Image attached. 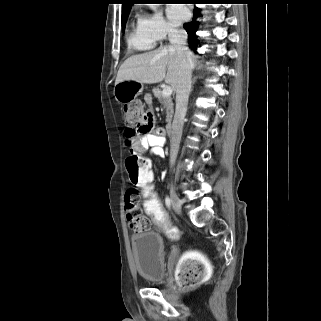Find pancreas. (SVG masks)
I'll return each instance as SVG.
<instances>
[{"instance_id": "1", "label": "pancreas", "mask_w": 321, "mask_h": 321, "mask_svg": "<svg viewBox=\"0 0 321 321\" xmlns=\"http://www.w3.org/2000/svg\"><path fill=\"white\" fill-rule=\"evenodd\" d=\"M154 96L158 99V101L164 106L166 110V122L170 123L173 116V102L170 96H163L161 89L155 88L153 90Z\"/></svg>"}]
</instances>
